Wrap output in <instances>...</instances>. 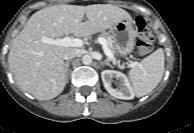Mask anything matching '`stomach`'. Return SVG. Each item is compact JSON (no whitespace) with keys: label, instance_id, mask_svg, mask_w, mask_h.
Segmentation results:
<instances>
[{"label":"stomach","instance_id":"obj_1","mask_svg":"<svg viewBox=\"0 0 194 133\" xmlns=\"http://www.w3.org/2000/svg\"><path fill=\"white\" fill-rule=\"evenodd\" d=\"M112 39L115 50L120 56H127L132 53L135 46L136 33L132 20L123 19L111 27Z\"/></svg>","mask_w":194,"mask_h":133}]
</instances>
